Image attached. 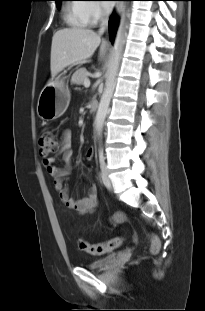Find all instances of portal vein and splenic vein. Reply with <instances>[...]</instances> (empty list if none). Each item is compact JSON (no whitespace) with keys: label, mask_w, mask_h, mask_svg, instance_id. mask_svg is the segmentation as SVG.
<instances>
[{"label":"portal vein and splenic vein","mask_w":205,"mask_h":311,"mask_svg":"<svg viewBox=\"0 0 205 311\" xmlns=\"http://www.w3.org/2000/svg\"><path fill=\"white\" fill-rule=\"evenodd\" d=\"M84 86L85 87H89L90 86V80L88 79V78H86L85 80H84Z\"/></svg>","instance_id":"18ae733b"}]
</instances>
